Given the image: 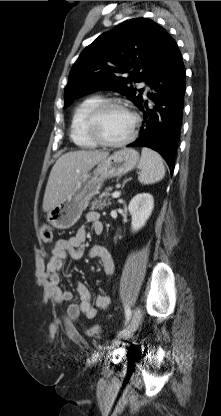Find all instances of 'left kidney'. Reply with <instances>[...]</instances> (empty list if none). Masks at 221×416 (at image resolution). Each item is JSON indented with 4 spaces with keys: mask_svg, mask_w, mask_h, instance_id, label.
Instances as JSON below:
<instances>
[{
    "mask_svg": "<svg viewBox=\"0 0 221 416\" xmlns=\"http://www.w3.org/2000/svg\"><path fill=\"white\" fill-rule=\"evenodd\" d=\"M153 208L154 199L151 194L140 193L133 197L128 206L132 216L131 228L133 232L138 231L146 224Z\"/></svg>",
    "mask_w": 221,
    "mask_h": 416,
    "instance_id": "5707ae66",
    "label": "left kidney"
}]
</instances>
